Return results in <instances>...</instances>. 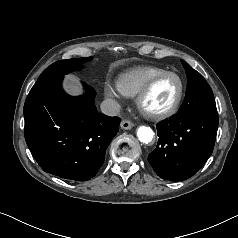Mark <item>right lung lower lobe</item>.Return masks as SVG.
I'll return each mask as SVG.
<instances>
[{"label": "right lung lower lobe", "instance_id": "1", "mask_svg": "<svg viewBox=\"0 0 238 238\" xmlns=\"http://www.w3.org/2000/svg\"><path fill=\"white\" fill-rule=\"evenodd\" d=\"M63 76L38 79L24 104L25 140L40 167L61 178L91 179L105 159V151L119 130L120 118L99 113L95 90L67 95Z\"/></svg>", "mask_w": 238, "mask_h": 238}]
</instances>
